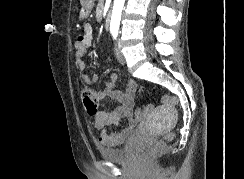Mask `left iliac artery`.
Wrapping results in <instances>:
<instances>
[{
  "mask_svg": "<svg viewBox=\"0 0 244 179\" xmlns=\"http://www.w3.org/2000/svg\"><path fill=\"white\" fill-rule=\"evenodd\" d=\"M111 33H112V35H113V38L116 39V38H117V35H118V32H116V31H112Z\"/></svg>",
  "mask_w": 244,
  "mask_h": 179,
  "instance_id": "1",
  "label": "left iliac artery"
}]
</instances>
